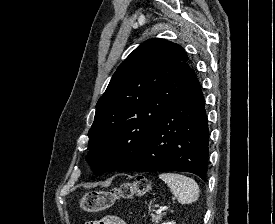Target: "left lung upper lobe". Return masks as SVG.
Listing matches in <instances>:
<instances>
[{
	"mask_svg": "<svg viewBox=\"0 0 275 224\" xmlns=\"http://www.w3.org/2000/svg\"><path fill=\"white\" fill-rule=\"evenodd\" d=\"M181 46L149 39L117 68L96 104L86 159L98 174L124 170L153 126L195 77Z\"/></svg>",
	"mask_w": 275,
	"mask_h": 224,
	"instance_id": "1",
	"label": "left lung upper lobe"
}]
</instances>
